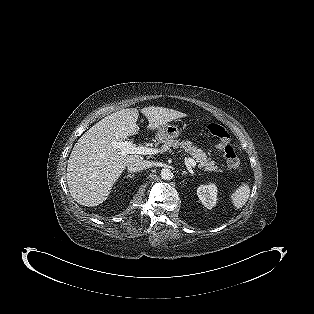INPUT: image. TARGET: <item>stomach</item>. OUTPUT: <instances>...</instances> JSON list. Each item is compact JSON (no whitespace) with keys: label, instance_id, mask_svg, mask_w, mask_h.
Listing matches in <instances>:
<instances>
[{"label":"stomach","instance_id":"obj_1","mask_svg":"<svg viewBox=\"0 0 314 314\" xmlns=\"http://www.w3.org/2000/svg\"><path fill=\"white\" fill-rule=\"evenodd\" d=\"M180 135V130L177 126L172 124H166L157 129L156 137L160 142L167 139H174Z\"/></svg>","mask_w":314,"mask_h":314}]
</instances>
